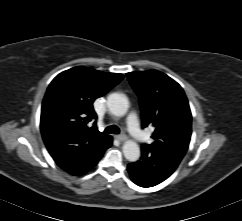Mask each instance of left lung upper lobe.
<instances>
[{"label":"left lung upper lobe","mask_w":242,"mask_h":221,"mask_svg":"<svg viewBox=\"0 0 242 221\" xmlns=\"http://www.w3.org/2000/svg\"><path fill=\"white\" fill-rule=\"evenodd\" d=\"M127 77L140 102L142 127L153 125L150 149L180 162L191 137V111L182 87L166 74L148 70Z\"/></svg>","instance_id":"1"}]
</instances>
